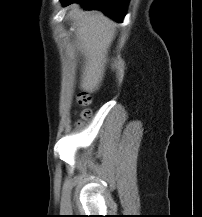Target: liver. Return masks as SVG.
Wrapping results in <instances>:
<instances>
[{
    "label": "liver",
    "instance_id": "1",
    "mask_svg": "<svg viewBox=\"0 0 202 217\" xmlns=\"http://www.w3.org/2000/svg\"><path fill=\"white\" fill-rule=\"evenodd\" d=\"M69 17L75 20V35L86 58L81 88L93 93L103 80L106 57L115 37L116 24L102 13L84 11L78 5L73 6Z\"/></svg>",
    "mask_w": 202,
    "mask_h": 217
}]
</instances>
